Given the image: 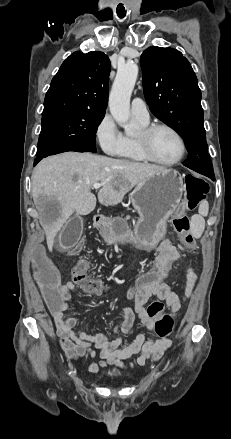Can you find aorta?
<instances>
[{
  "label": "aorta",
  "instance_id": "762f6f07",
  "mask_svg": "<svg viewBox=\"0 0 231 439\" xmlns=\"http://www.w3.org/2000/svg\"><path fill=\"white\" fill-rule=\"evenodd\" d=\"M137 76L138 66L134 62L119 66L109 95L110 113L124 128L126 134L132 133L135 129L134 125L129 122V117L130 98Z\"/></svg>",
  "mask_w": 231,
  "mask_h": 439
}]
</instances>
